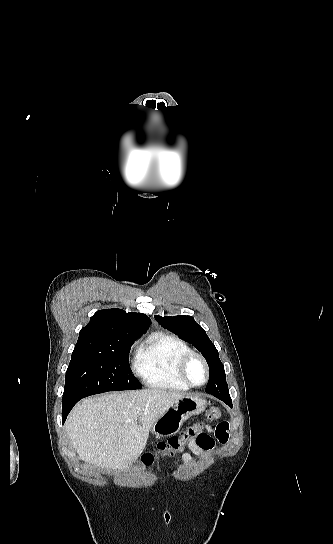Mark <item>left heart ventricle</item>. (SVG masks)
Instances as JSON below:
<instances>
[{"mask_svg": "<svg viewBox=\"0 0 333 544\" xmlns=\"http://www.w3.org/2000/svg\"><path fill=\"white\" fill-rule=\"evenodd\" d=\"M188 377L195 384H201L206 378V371L203 364L195 359L188 367Z\"/></svg>", "mask_w": 333, "mask_h": 544, "instance_id": "b2bd125f", "label": "left heart ventricle"}]
</instances>
